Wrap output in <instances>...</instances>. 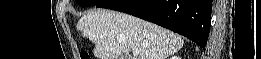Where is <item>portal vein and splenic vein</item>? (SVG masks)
<instances>
[{
    "label": "portal vein and splenic vein",
    "mask_w": 261,
    "mask_h": 59,
    "mask_svg": "<svg viewBox=\"0 0 261 59\" xmlns=\"http://www.w3.org/2000/svg\"><path fill=\"white\" fill-rule=\"evenodd\" d=\"M133 54H138L139 53V51H138V49L137 48H133Z\"/></svg>",
    "instance_id": "18ae733b"
}]
</instances>
